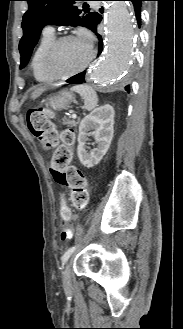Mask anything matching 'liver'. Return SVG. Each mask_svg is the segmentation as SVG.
<instances>
[{
  "instance_id": "liver-1",
  "label": "liver",
  "mask_w": 183,
  "mask_h": 329,
  "mask_svg": "<svg viewBox=\"0 0 183 329\" xmlns=\"http://www.w3.org/2000/svg\"><path fill=\"white\" fill-rule=\"evenodd\" d=\"M45 91V87H41L36 89L33 93H32V99H36L38 96H40L43 92Z\"/></svg>"
}]
</instances>
